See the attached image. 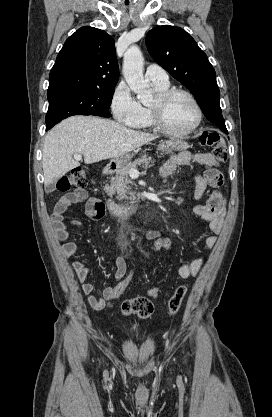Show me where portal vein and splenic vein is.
<instances>
[{
  "label": "portal vein and splenic vein",
  "instance_id": "1",
  "mask_svg": "<svg viewBox=\"0 0 272 417\" xmlns=\"http://www.w3.org/2000/svg\"><path fill=\"white\" fill-rule=\"evenodd\" d=\"M74 159L78 161L81 160L82 159L81 154H74ZM128 173L130 176H137L139 174V171L136 168H132L129 170Z\"/></svg>",
  "mask_w": 272,
  "mask_h": 417
}]
</instances>
